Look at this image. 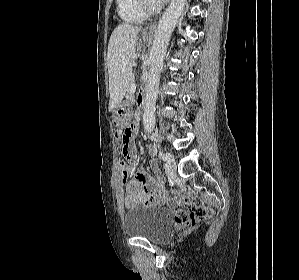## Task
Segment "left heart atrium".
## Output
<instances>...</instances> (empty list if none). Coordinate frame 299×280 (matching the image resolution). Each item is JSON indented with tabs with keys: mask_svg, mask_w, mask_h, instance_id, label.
<instances>
[{
	"mask_svg": "<svg viewBox=\"0 0 299 280\" xmlns=\"http://www.w3.org/2000/svg\"><path fill=\"white\" fill-rule=\"evenodd\" d=\"M164 1H166V0H154V2H155L156 4H162Z\"/></svg>",
	"mask_w": 299,
	"mask_h": 280,
	"instance_id": "obj_1",
	"label": "left heart atrium"
}]
</instances>
